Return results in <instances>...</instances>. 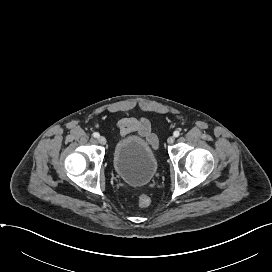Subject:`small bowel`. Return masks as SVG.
Instances as JSON below:
<instances>
[{"label":"small bowel","mask_w":272,"mask_h":272,"mask_svg":"<svg viewBox=\"0 0 272 272\" xmlns=\"http://www.w3.org/2000/svg\"><path fill=\"white\" fill-rule=\"evenodd\" d=\"M118 130L121 137H126L132 132H137L144 137L152 146L156 147L157 137L153 133L150 122L143 117H124L118 123Z\"/></svg>","instance_id":"1"}]
</instances>
